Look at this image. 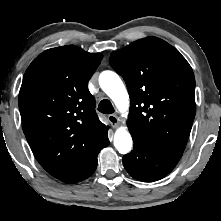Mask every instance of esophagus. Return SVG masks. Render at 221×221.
Here are the masks:
<instances>
[{
	"mask_svg": "<svg viewBox=\"0 0 221 221\" xmlns=\"http://www.w3.org/2000/svg\"><path fill=\"white\" fill-rule=\"evenodd\" d=\"M108 120L114 126H117L120 123V119L114 114L109 115Z\"/></svg>",
	"mask_w": 221,
	"mask_h": 221,
	"instance_id": "esophagus-1",
	"label": "esophagus"
}]
</instances>
